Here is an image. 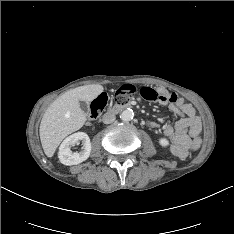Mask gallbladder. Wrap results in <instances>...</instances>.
<instances>
[{"mask_svg": "<svg viewBox=\"0 0 234 234\" xmlns=\"http://www.w3.org/2000/svg\"><path fill=\"white\" fill-rule=\"evenodd\" d=\"M80 108L84 111V112H88L89 107L88 104L84 101H80L79 102Z\"/></svg>", "mask_w": 234, "mask_h": 234, "instance_id": "obj_1", "label": "gallbladder"}]
</instances>
